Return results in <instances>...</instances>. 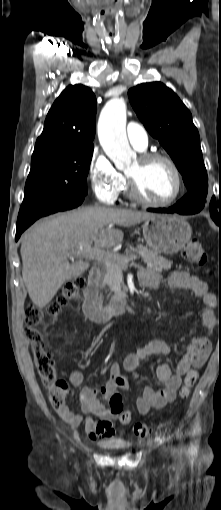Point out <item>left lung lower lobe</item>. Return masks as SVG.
Segmentation results:
<instances>
[{"instance_id":"1","label":"left lung lower lobe","mask_w":221,"mask_h":510,"mask_svg":"<svg viewBox=\"0 0 221 510\" xmlns=\"http://www.w3.org/2000/svg\"><path fill=\"white\" fill-rule=\"evenodd\" d=\"M201 209L196 208L190 203H184V204H175L173 207H170L168 209L166 208H157V209H148V211L151 212H160V213H179L183 215L188 214H195L198 213ZM212 219L214 222L221 227V210L218 211H211L210 212Z\"/></svg>"}]
</instances>
